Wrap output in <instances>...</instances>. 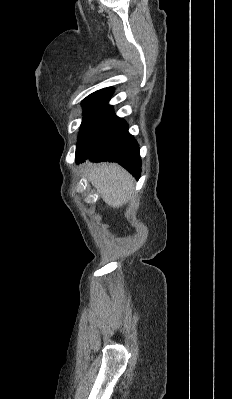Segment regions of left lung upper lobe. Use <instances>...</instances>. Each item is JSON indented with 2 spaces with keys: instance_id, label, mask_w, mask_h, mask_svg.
Instances as JSON below:
<instances>
[{
  "instance_id": "1",
  "label": "left lung upper lobe",
  "mask_w": 232,
  "mask_h": 399,
  "mask_svg": "<svg viewBox=\"0 0 232 399\" xmlns=\"http://www.w3.org/2000/svg\"><path fill=\"white\" fill-rule=\"evenodd\" d=\"M111 88H104L87 96L82 101L83 121L79 130L75 159L100 147L123 124L113 107L108 105L112 96Z\"/></svg>"
}]
</instances>
